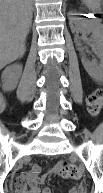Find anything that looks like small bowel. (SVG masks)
<instances>
[{"label":"small bowel","mask_w":103,"mask_h":193,"mask_svg":"<svg viewBox=\"0 0 103 193\" xmlns=\"http://www.w3.org/2000/svg\"><path fill=\"white\" fill-rule=\"evenodd\" d=\"M45 176L41 175V167L34 164L31 168L24 172L20 177L15 179L13 189L15 193H51L48 187H44ZM30 189L26 191V185ZM67 193H86L83 185H73L68 188Z\"/></svg>","instance_id":"obj_1"}]
</instances>
